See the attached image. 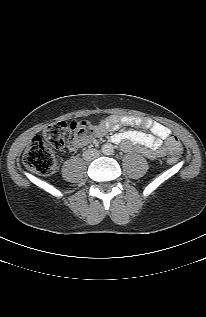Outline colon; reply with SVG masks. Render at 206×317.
Instances as JSON below:
<instances>
[{"label": "colon", "instance_id": "colon-1", "mask_svg": "<svg viewBox=\"0 0 206 317\" xmlns=\"http://www.w3.org/2000/svg\"><path fill=\"white\" fill-rule=\"evenodd\" d=\"M96 128L85 122L61 121L48 126L41 136H36L25 150L23 163L30 171L40 175H52L58 169V162L50 147L63 148L67 143L88 141L96 135ZM169 163H175L181 154L179 139L170 135L167 139Z\"/></svg>", "mask_w": 206, "mask_h": 317}]
</instances>
